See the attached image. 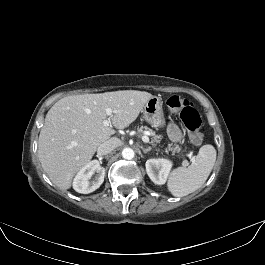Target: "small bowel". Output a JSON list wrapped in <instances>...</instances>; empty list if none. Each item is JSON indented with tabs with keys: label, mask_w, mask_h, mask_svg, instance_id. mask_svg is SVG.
Here are the masks:
<instances>
[{
	"label": "small bowel",
	"mask_w": 265,
	"mask_h": 265,
	"mask_svg": "<svg viewBox=\"0 0 265 265\" xmlns=\"http://www.w3.org/2000/svg\"><path fill=\"white\" fill-rule=\"evenodd\" d=\"M168 134H169V137L175 142L180 141L182 138L181 131L173 123L169 124V126H168Z\"/></svg>",
	"instance_id": "obj_1"
}]
</instances>
